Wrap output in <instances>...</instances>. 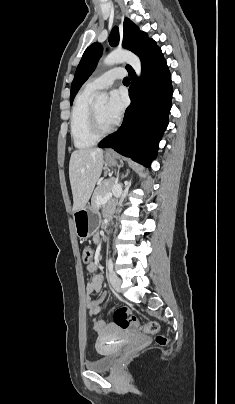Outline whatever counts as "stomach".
<instances>
[{
	"mask_svg": "<svg viewBox=\"0 0 235 404\" xmlns=\"http://www.w3.org/2000/svg\"><path fill=\"white\" fill-rule=\"evenodd\" d=\"M106 165L116 166L117 160L115 156H106ZM76 235L80 239L89 238L100 225V216L92 206H85L73 214Z\"/></svg>",
	"mask_w": 235,
	"mask_h": 404,
	"instance_id": "obj_1",
	"label": "stomach"
}]
</instances>
